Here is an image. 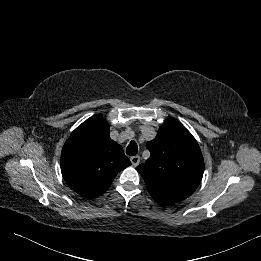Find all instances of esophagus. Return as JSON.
<instances>
[{
    "instance_id": "esophagus-1",
    "label": "esophagus",
    "mask_w": 261,
    "mask_h": 261,
    "mask_svg": "<svg viewBox=\"0 0 261 261\" xmlns=\"http://www.w3.org/2000/svg\"><path fill=\"white\" fill-rule=\"evenodd\" d=\"M130 161H131L132 165L135 167V166H137L139 164L140 157L139 156H132L130 158Z\"/></svg>"
}]
</instances>
